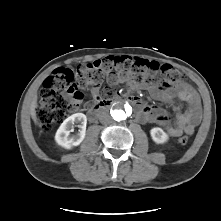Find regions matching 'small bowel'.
I'll use <instances>...</instances> for the list:
<instances>
[{
    "mask_svg": "<svg viewBox=\"0 0 221 221\" xmlns=\"http://www.w3.org/2000/svg\"><path fill=\"white\" fill-rule=\"evenodd\" d=\"M107 69V81L110 85H116L118 83H125L129 89H135L141 86L140 83H136L130 79V77L122 70L115 72ZM151 97L168 103L172 106L175 112V119L171 121L164 109L160 107L150 106L140 101L137 105L138 113L137 119L140 122H153L164 127L170 136L178 137L182 134H193L198 126L201 115L202 106L201 101L195 92V90L186 82L171 88H160L156 84L145 85ZM100 99V93L98 86L92 90V101L88 105ZM184 102L188 105L186 112L181 111L180 103ZM80 101L76 102L79 106Z\"/></svg>",
    "mask_w": 221,
    "mask_h": 221,
    "instance_id": "obj_1",
    "label": "small bowel"
}]
</instances>
